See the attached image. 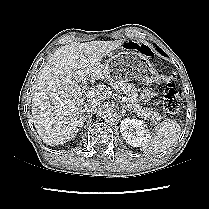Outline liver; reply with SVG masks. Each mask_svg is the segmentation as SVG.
<instances>
[{
    "instance_id": "1",
    "label": "liver",
    "mask_w": 209,
    "mask_h": 209,
    "mask_svg": "<svg viewBox=\"0 0 209 209\" xmlns=\"http://www.w3.org/2000/svg\"><path fill=\"white\" fill-rule=\"evenodd\" d=\"M124 42L125 39L73 42L54 52L38 76L32 98L33 123L44 143L61 145L77 134L83 125L86 104L80 98L79 83L90 77L110 79L111 70L101 61ZM110 95V89L100 84L97 99L93 100H106Z\"/></svg>"
}]
</instances>
